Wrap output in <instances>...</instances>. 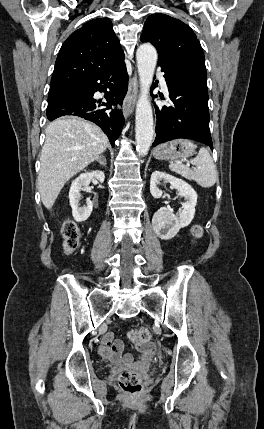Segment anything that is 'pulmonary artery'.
Masks as SVG:
<instances>
[{
    "label": "pulmonary artery",
    "instance_id": "e3ab8cb5",
    "mask_svg": "<svg viewBox=\"0 0 264 429\" xmlns=\"http://www.w3.org/2000/svg\"><path fill=\"white\" fill-rule=\"evenodd\" d=\"M158 78L160 80V85H161L162 90L164 92H167V84H166V81H165L162 73H158Z\"/></svg>",
    "mask_w": 264,
    "mask_h": 429
}]
</instances>
